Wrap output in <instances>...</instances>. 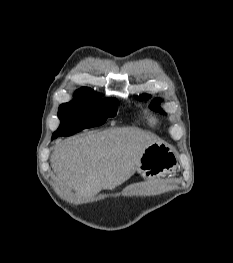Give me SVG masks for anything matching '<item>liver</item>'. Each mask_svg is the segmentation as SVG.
Instances as JSON below:
<instances>
[{
  "instance_id": "obj_1",
  "label": "liver",
  "mask_w": 233,
  "mask_h": 263,
  "mask_svg": "<svg viewBox=\"0 0 233 263\" xmlns=\"http://www.w3.org/2000/svg\"><path fill=\"white\" fill-rule=\"evenodd\" d=\"M154 142H160L155 135L136 128L88 132L59 144L50 162L58 183L84 202L127 181Z\"/></svg>"
}]
</instances>
